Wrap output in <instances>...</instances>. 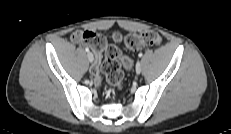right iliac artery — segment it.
I'll use <instances>...</instances> for the list:
<instances>
[{"label":"right iliac artery","mask_w":231,"mask_h":134,"mask_svg":"<svg viewBox=\"0 0 231 134\" xmlns=\"http://www.w3.org/2000/svg\"><path fill=\"white\" fill-rule=\"evenodd\" d=\"M85 51H86V52H89V48H88V47H86V48H85Z\"/></svg>","instance_id":"1"}]
</instances>
